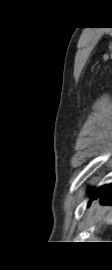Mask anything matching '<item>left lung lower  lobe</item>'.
I'll use <instances>...</instances> for the list:
<instances>
[{"instance_id":"1","label":"left lung lower lobe","mask_w":112,"mask_h":270,"mask_svg":"<svg viewBox=\"0 0 112 270\" xmlns=\"http://www.w3.org/2000/svg\"><path fill=\"white\" fill-rule=\"evenodd\" d=\"M95 197H99L100 203L103 205H112V186L111 185H104L98 189H96L92 196L90 197L89 204Z\"/></svg>"}]
</instances>
